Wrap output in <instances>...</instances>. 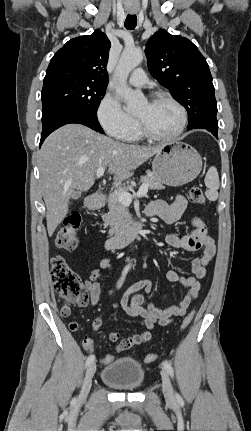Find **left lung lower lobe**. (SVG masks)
I'll list each match as a JSON object with an SVG mask.
<instances>
[{
  "label": "left lung lower lobe",
  "mask_w": 251,
  "mask_h": 431,
  "mask_svg": "<svg viewBox=\"0 0 251 431\" xmlns=\"http://www.w3.org/2000/svg\"><path fill=\"white\" fill-rule=\"evenodd\" d=\"M202 129H207L208 131H210L216 138H218L217 134H218V128L217 129H212V128H208V127H201Z\"/></svg>",
  "instance_id": "obj_1"
}]
</instances>
